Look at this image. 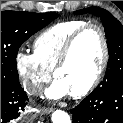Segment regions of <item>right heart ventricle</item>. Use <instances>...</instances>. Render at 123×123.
Segmentation results:
<instances>
[{
    "label": "right heart ventricle",
    "mask_w": 123,
    "mask_h": 123,
    "mask_svg": "<svg viewBox=\"0 0 123 123\" xmlns=\"http://www.w3.org/2000/svg\"><path fill=\"white\" fill-rule=\"evenodd\" d=\"M85 24L86 22L82 20L62 21L37 36L33 43V50L41 64L52 70L60 57L66 40Z\"/></svg>",
    "instance_id": "obj_1"
}]
</instances>
